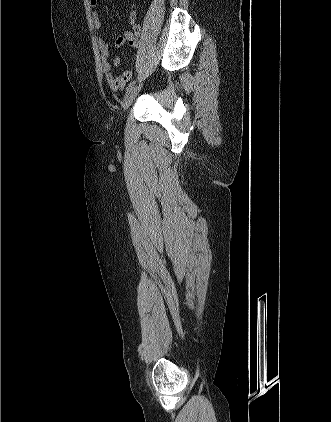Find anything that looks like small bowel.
<instances>
[{
  "mask_svg": "<svg viewBox=\"0 0 331 422\" xmlns=\"http://www.w3.org/2000/svg\"><path fill=\"white\" fill-rule=\"evenodd\" d=\"M98 0H89V4L92 7L97 6ZM93 25L96 31L99 33L101 29V22L99 15L96 11H93L92 14ZM140 29L138 26H134L133 30L125 29L119 37L115 40V47L120 48L125 44L130 45L134 49L139 48L138 35ZM97 46L99 49L101 57V65L103 76L111 89L118 91L122 89L132 78V73L129 70L124 71L121 75L116 76L113 73V68L117 67L121 59L119 57H114L111 61L109 58V46L101 37L97 40Z\"/></svg>",
  "mask_w": 331,
  "mask_h": 422,
  "instance_id": "1",
  "label": "small bowel"
}]
</instances>
